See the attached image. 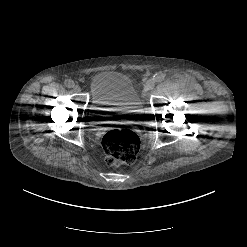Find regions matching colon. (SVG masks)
<instances>
[{
    "label": "colon",
    "mask_w": 247,
    "mask_h": 247,
    "mask_svg": "<svg viewBox=\"0 0 247 247\" xmlns=\"http://www.w3.org/2000/svg\"><path fill=\"white\" fill-rule=\"evenodd\" d=\"M101 144L105 152L106 163L110 166L134 162L140 149L138 135L125 128L108 131L104 134Z\"/></svg>",
    "instance_id": "5ec220e1"
}]
</instances>
